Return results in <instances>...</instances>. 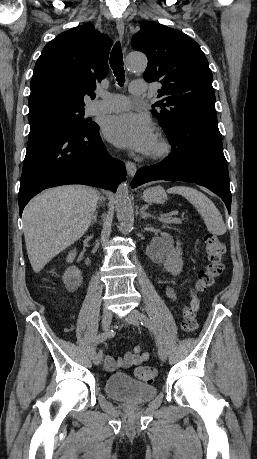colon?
Listing matches in <instances>:
<instances>
[{
	"mask_svg": "<svg viewBox=\"0 0 257 459\" xmlns=\"http://www.w3.org/2000/svg\"><path fill=\"white\" fill-rule=\"evenodd\" d=\"M205 249L208 262L198 273L191 291L192 295L209 289L224 271L223 257L225 246L222 240L213 234L206 235ZM181 327L185 333H193L198 328L197 316L191 306L185 307L183 311ZM136 375L139 379L149 382L155 378L156 370L153 367L144 366L136 370Z\"/></svg>",
	"mask_w": 257,
	"mask_h": 459,
	"instance_id": "5ec220e1",
	"label": "colon"
}]
</instances>
